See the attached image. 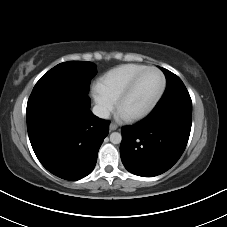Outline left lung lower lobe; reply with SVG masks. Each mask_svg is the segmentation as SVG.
<instances>
[{"label":"left lung lower lobe","instance_id":"left-lung-lower-lobe-1","mask_svg":"<svg viewBox=\"0 0 227 227\" xmlns=\"http://www.w3.org/2000/svg\"><path fill=\"white\" fill-rule=\"evenodd\" d=\"M192 106L168 104L155 107L142 121L122 128L121 160L138 176L153 177L169 170L187 145Z\"/></svg>","mask_w":227,"mask_h":227}]
</instances>
